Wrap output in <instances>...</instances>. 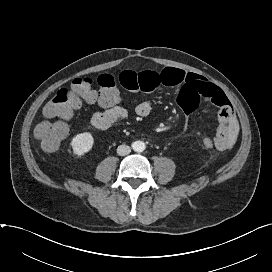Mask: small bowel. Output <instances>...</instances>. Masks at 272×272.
Here are the masks:
<instances>
[{"mask_svg": "<svg viewBox=\"0 0 272 272\" xmlns=\"http://www.w3.org/2000/svg\"><path fill=\"white\" fill-rule=\"evenodd\" d=\"M120 85L129 91L153 92L162 87H179L178 104L187 118L202 101L210 102L218 108V128L213 137L214 147L220 151L232 149L239 135L240 126L233 106L225 93L215 84L196 74L176 68L161 71H123L118 78ZM140 117L148 116L152 106L142 101L135 108ZM127 117V110L121 105H114L96 112L91 119L92 125L99 130H106ZM187 129L185 122L181 133Z\"/></svg>", "mask_w": 272, "mask_h": 272, "instance_id": "1", "label": "small bowel"}]
</instances>
